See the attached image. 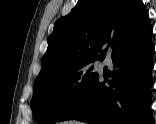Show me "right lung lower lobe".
<instances>
[{
	"instance_id": "obj_1",
	"label": "right lung lower lobe",
	"mask_w": 156,
	"mask_h": 124,
	"mask_svg": "<svg viewBox=\"0 0 156 124\" xmlns=\"http://www.w3.org/2000/svg\"><path fill=\"white\" fill-rule=\"evenodd\" d=\"M151 36L149 25L142 30L126 32L111 45L109 49L115 70L103 76L97 75L59 121L76 119L91 124H153L149 109L154 51ZM108 75L113 79L107 81Z\"/></svg>"
}]
</instances>
